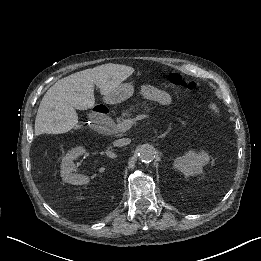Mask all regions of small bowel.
I'll use <instances>...</instances> for the list:
<instances>
[{"label": "small bowel", "instance_id": "obj_1", "mask_svg": "<svg viewBox=\"0 0 261 261\" xmlns=\"http://www.w3.org/2000/svg\"><path fill=\"white\" fill-rule=\"evenodd\" d=\"M139 92L144 98L162 105H168L171 102V96L166 91L153 85H144Z\"/></svg>", "mask_w": 261, "mask_h": 261}]
</instances>
